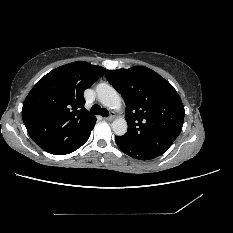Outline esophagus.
Here are the masks:
<instances>
[{"instance_id":"34e87169","label":"esophagus","mask_w":233,"mask_h":233,"mask_svg":"<svg viewBox=\"0 0 233 233\" xmlns=\"http://www.w3.org/2000/svg\"><path fill=\"white\" fill-rule=\"evenodd\" d=\"M115 116H116L115 113L112 112V114L109 117L104 118V119L107 120V121H112L115 118Z\"/></svg>"}]
</instances>
